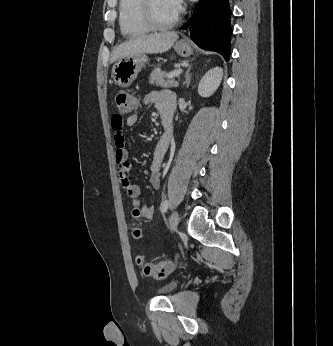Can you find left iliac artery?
<instances>
[{
	"label": "left iliac artery",
	"instance_id": "44dca946",
	"mask_svg": "<svg viewBox=\"0 0 333 346\" xmlns=\"http://www.w3.org/2000/svg\"><path fill=\"white\" fill-rule=\"evenodd\" d=\"M168 208H169V201L165 199L161 204V211L165 213Z\"/></svg>",
	"mask_w": 333,
	"mask_h": 346
}]
</instances>
